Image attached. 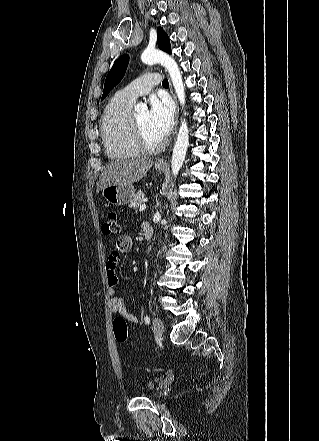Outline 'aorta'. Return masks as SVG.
I'll list each match as a JSON object with an SVG mask.
<instances>
[{"instance_id":"1","label":"aorta","mask_w":319,"mask_h":441,"mask_svg":"<svg viewBox=\"0 0 319 441\" xmlns=\"http://www.w3.org/2000/svg\"><path fill=\"white\" fill-rule=\"evenodd\" d=\"M141 61L148 65L156 63L164 66L173 83V87L177 94L180 104L185 103V89L182 80V75L176 61L166 52L161 50L146 49L141 54ZM139 111L143 112L147 109V106L140 103L136 107ZM186 114V113H185ZM189 144L188 127L185 119L181 121L180 129L177 135V140L172 154L171 169L172 175L176 178L185 160L186 151ZM171 191V190H170ZM172 193V191H171Z\"/></svg>"}]
</instances>
